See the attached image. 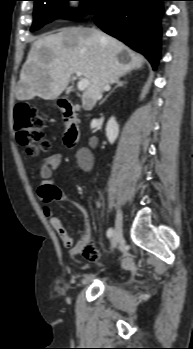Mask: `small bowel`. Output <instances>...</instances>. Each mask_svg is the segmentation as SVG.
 Returning a JSON list of instances; mask_svg holds the SVG:
<instances>
[{
	"mask_svg": "<svg viewBox=\"0 0 193 349\" xmlns=\"http://www.w3.org/2000/svg\"><path fill=\"white\" fill-rule=\"evenodd\" d=\"M61 162L62 155L58 153L50 155L42 161L40 166L41 182L38 187L39 200L42 203L67 201L72 203L81 212L85 213L86 207L82 202L71 198L53 183L54 171L59 167ZM79 164L83 170L89 171L92 168L93 159L88 153H83L79 157ZM50 224L58 234L62 245L69 248V254L71 257L76 258L83 255L87 260L94 261L100 256L99 251L92 247L88 236H83V238L74 245L71 235L58 217H50ZM87 266L88 264H84L83 268H86Z\"/></svg>",
	"mask_w": 193,
	"mask_h": 349,
	"instance_id": "c3829d8e",
	"label": "small bowel"
}]
</instances>
